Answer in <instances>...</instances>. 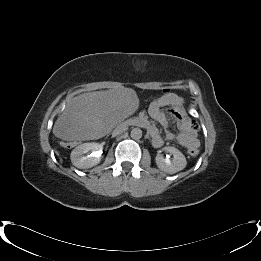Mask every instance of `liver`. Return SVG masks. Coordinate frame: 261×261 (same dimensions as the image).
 Masks as SVG:
<instances>
[{
	"instance_id": "liver-1",
	"label": "liver",
	"mask_w": 261,
	"mask_h": 261,
	"mask_svg": "<svg viewBox=\"0 0 261 261\" xmlns=\"http://www.w3.org/2000/svg\"><path fill=\"white\" fill-rule=\"evenodd\" d=\"M137 102L135 92L124 87L81 94L58 117L53 134L65 141L101 138L131 114Z\"/></svg>"
}]
</instances>
